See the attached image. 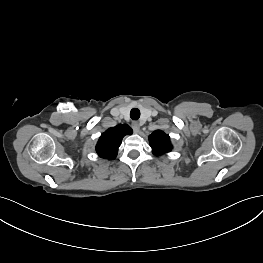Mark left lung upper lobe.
<instances>
[{"label": "left lung upper lobe", "mask_w": 263, "mask_h": 263, "mask_svg": "<svg viewBox=\"0 0 263 263\" xmlns=\"http://www.w3.org/2000/svg\"><path fill=\"white\" fill-rule=\"evenodd\" d=\"M149 143L155 155H162L172 149L169 136L160 130L153 132L149 136Z\"/></svg>", "instance_id": "obj_1"}]
</instances>
